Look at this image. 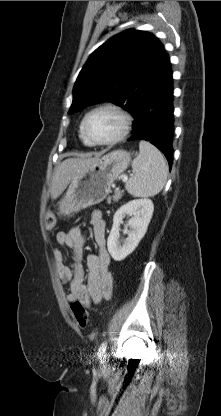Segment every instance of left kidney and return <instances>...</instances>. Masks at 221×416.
<instances>
[{
  "instance_id": "obj_1",
  "label": "left kidney",
  "mask_w": 221,
  "mask_h": 416,
  "mask_svg": "<svg viewBox=\"0 0 221 416\" xmlns=\"http://www.w3.org/2000/svg\"><path fill=\"white\" fill-rule=\"evenodd\" d=\"M153 211L154 205L150 199L129 201L116 211L107 240L108 251L115 261H122L135 250L147 231ZM128 214L132 215L127 223L131 230L127 232L128 237L120 241V224Z\"/></svg>"
}]
</instances>
